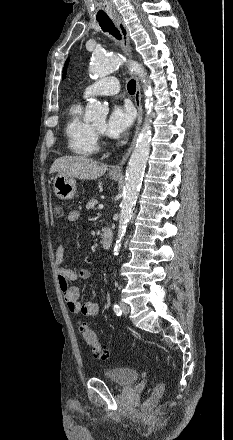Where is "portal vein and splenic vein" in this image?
<instances>
[{"mask_svg":"<svg viewBox=\"0 0 233 440\" xmlns=\"http://www.w3.org/2000/svg\"><path fill=\"white\" fill-rule=\"evenodd\" d=\"M103 204H100L99 206H98V209H103Z\"/></svg>","mask_w":233,"mask_h":440,"instance_id":"portal-vein-and-splenic-vein-1","label":"portal vein and splenic vein"}]
</instances>
